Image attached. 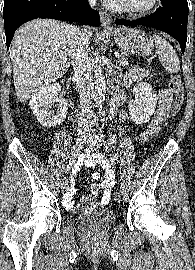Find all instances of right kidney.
Segmentation results:
<instances>
[{"label": "right kidney", "instance_id": "1", "mask_svg": "<svg viewBox=\"0 0 195 270\" xmlns=\"http://www.w3.org/2000/svg\"><path fill=\"white\" fill-rule=\"evenodd\" d=\"M61 91L59 83L50 84L32 96L29 105L38 122L51 128L64 121L67 115L68 103L58 97ZM55 105V110L52 106Z\"/></svg>", "mask_w": 195, "mask_h": 270}]
</instances>
